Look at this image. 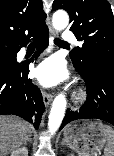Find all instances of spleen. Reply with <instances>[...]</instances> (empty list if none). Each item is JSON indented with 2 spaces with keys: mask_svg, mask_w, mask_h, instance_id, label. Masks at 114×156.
<instances>
[{
  "mask_svg": "<svg viewBox=\"0 0 114 156\" xmlns=\"http://www.w3.org/2000/svg\"><path fill=\"white\" fill-rule=\"evenodd\" d=\"M105 129L108 134V143L104 148V156H114V130L105 125Z\"/></svg>",
  "mask_w": 114,
  "mask_h": 156,
  "instance_id": "spleen-1",
  "label": "spleen"
}]
</instances>
